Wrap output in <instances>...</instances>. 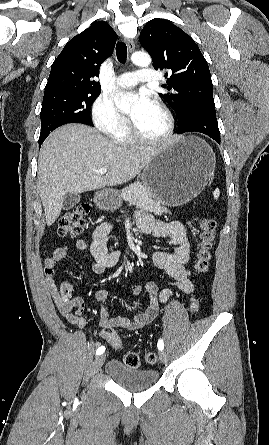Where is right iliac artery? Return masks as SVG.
<instances>
[{
    "mask_svg": "<svg viewBox=\"0 0 269 445\" xmlns=\"http://www.w3.org/2000/svg\"><path fill=\"white\" fill-rule=\"evenodd\" d=\"M104 351H105V347H104V346H101V347H99V348L97 349L96 354H97V355H101Z\"/></svg>",
    "mask_w": 269,
    "mask_h": 445,
    "instance_id": "obj_1",
    "label": "right iliac artery"
}]
</instances>
